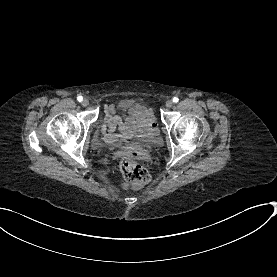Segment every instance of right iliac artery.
<instances>
[{
    "label": "right iliac artery",
    "instance_id": "obj_1",
    "mask_svg": "<svg viewBox=\"0 0 277 277\" xmlns=\"http://www.w3.org/2000/svg\"><path fill=\"white\" fill-rule=\"evenodd\" d=\"M77 100H78L79 102H81V101L83 100V97H82V96H79V97L77 98Z\"/></svg>",
    "mask_w": 277,
    "mask_h": 277
}]
</instances>
